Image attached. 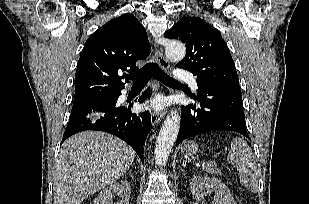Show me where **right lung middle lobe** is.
<instances>
[{
	"mask_svg": "<svg viewBox=\"0 0 309 204\" xmlns=\"http://www.w3.org/2000/svg\"><path fill=\"white\" fill-rule=\"evenodd\" d=\"M112 96H114V95L106 96V97L99 98V99H96V100H106V99H108V98H110V97H112ZM93 101H94V100H93Z\"/></svg>",
	"mask_w": 309,
	"mask_h": 204,
	"instance_id": "dd1d6c3e",
	"label": "right lung middle lobe"
}]
</instances>
